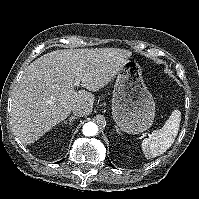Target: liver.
<instances>
[{"label":"liver","mask_w":199,"mask_h":199,"mask_svg":"<svg viewBox=\"0 0 199 199\" xmlns=\"http://www.w3.org/2000/svg\"><path fill=\"white\" fill-rule=\"evenodd\" d=\"M119 48L65 49L44 54L24 71L12 97L11 122L18 139L31 144L65 119L75 105L88 114L91 92L74 89L78 79L89 91L104 87L131 57Z\"/></svg>","instance_id":"obj_1"}]
</instances>
